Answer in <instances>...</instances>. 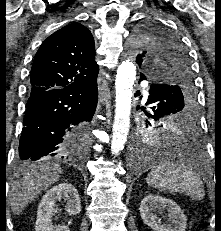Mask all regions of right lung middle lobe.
Segmentation results:
<instances>
[{"label":"right lung middle lobe","instance_id":"obj_1","mask_svg":"<svg viewBox=\"0 0 221 231\" xmlns=\"http://www.w3.org/2000/svg\"><path fill=\"white\" fill-rule=\"evenodd\" d=\"M91 125V121L89 124H85V125H82V126H79L77 128V130L82 133V134H85V137L87 139V143L89 142V138H90V126Z\"/></svg>","mask_w":221,"mask_h":231}]
</instances>
